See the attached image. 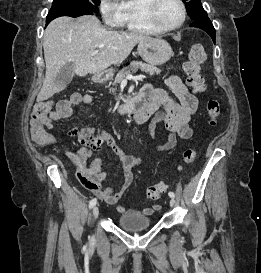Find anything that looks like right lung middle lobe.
<instances>
[{"instance_id":"obj_1","label":"right lung middle lobe","mask_w":261,"mask_h":273,"mask_svg":"<svg viewBox=\"0 0 261 273\" xmlns=\"http://www.w3.org/2000/svg\"><path fill=\"white\" fill-rule=\"evenodd\" d=\"M100 0H54L51 10L47 15L46 20H53L59 16L77 17L78 13L75 10V5L82 7L84 14L93 15V12H98Z\"/></svg>"}]
</instances>
